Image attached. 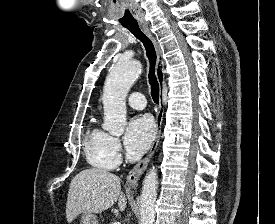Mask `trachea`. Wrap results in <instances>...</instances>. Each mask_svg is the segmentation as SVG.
Returning <instances> with one entry per match:
<instances>
[{"label": "trachea", "instance_id": "1", "mask_svg": "<svg viewBox=\"0 0 275 224\" xmlns=\"http://www.w3.org/2000/svg\"><path fill=\"white\" fill-rule=\"evenodd\" d=\"M137 39H139L146 50V55L150 62L149 68V84L151 86V96L155 103H159V84L155 75V65H156V51L152 41L141 31L138 25H132L126 27Z\"/></svg>", "mask_w": 275, "mask_h": 224}]
</instances>
